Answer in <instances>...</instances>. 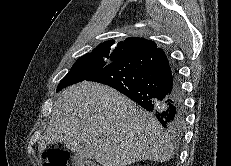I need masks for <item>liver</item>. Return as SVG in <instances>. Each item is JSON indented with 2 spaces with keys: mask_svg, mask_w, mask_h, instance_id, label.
<instances>
[{
  "mask_svg": "<svg viewBox=\"0 0 231 166\" xmlns=\"http://www.w3.org/2000/svg\"><path fill=\"white\" fill-rule=\"evenodd\" d=\"M57 141L80 160L95 159L103 166L166 162L174 153L155 117L115 89L94 82L66 88L55 102L38 142L39 154Z\"/></svg>",
  "mask_w": 231,
  "mask_h": 166,
  "instance_id": "obj_1",
  "label": "liver"
}]
</instances>
